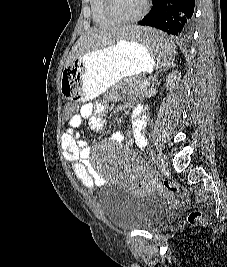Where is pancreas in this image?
<instances>
[{"label":"pancreas","instance_id":"pancreas-1","mask_svg":"<svg viewBox=\"0 0 227 267\" xmlns=\"http://www.w3.org/2000/svg\"><path fill=\"white\" fill-rule=\"evenodd\" d=\"M148 81L146 79H132L127 78L124 79L123 82L120 83L122 86H130V89H133L134 91H138L140 93L146 91Z\"/></svg>","mask_w":227,"mask_h":267}]
</instances>
